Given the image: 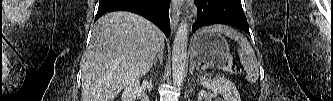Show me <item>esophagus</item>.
Here are the masks:
<instances>
[{
    "instance_id": "obj_1",
    "label": "esophagus",
    "mask_w": 333,
    "mask_h": 101,
    "mask_svg": "<svg viewBox=\"0 0 333 101\" xmlns=\"http://www.w3.org/2000/svg\"><path fill=\"white\" fill-rule=\"evenodd\" d=\"M180 16V10L177 5L172 4L170 7V21H171V29L174 31L178 25Z\"/></svg>"
}]
</instances>
